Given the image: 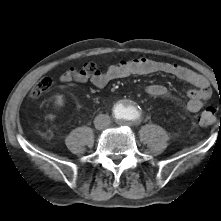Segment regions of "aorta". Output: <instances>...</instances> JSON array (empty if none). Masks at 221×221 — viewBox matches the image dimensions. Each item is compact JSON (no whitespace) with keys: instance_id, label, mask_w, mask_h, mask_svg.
<instances>
[{"instance_id":"aorta-1","label":"aorta","mask_w":221,"mask_h":221,"mask_svg":"<svg viewBox=\"0 0 221 221\" xmlns=\"http://www.w3.org/2000/svg\"><path fill=\"white\" fill-rule=\"evenodd\" d=\"M140 110L138 106L129 100H123L115 105L114 118L120 123H127L138 118Z\"/></svg>"}]
</instances>
